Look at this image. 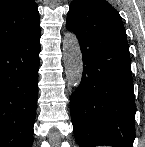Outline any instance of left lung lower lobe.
<instances>
[{"instance_id":"1","label":"left lung lower lobe","mask_w":145,"mask_h":147,"mask_svg":"<svg viewBox=\"0 0 145 147\" xmlns=\"http://www.w3.org/2000/svg\"><path fill=\"white\" fill-rule=\"evenodd\" d=\"M66 27L83 57V76L71 95L74 136L80 147H131L135 139L129 46L119 13L104 0H74Z\"/></svg>"}]
</instances>
